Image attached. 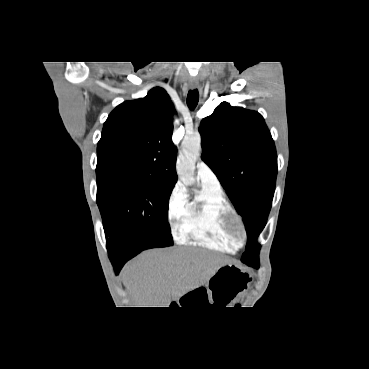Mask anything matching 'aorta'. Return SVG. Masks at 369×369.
I'll use <instances>...</instances> for the list:
<instances>
[{"label":"aorta","instance_id":"762f6f07","mask_svg":"<svg viewBox=\"0 0 369 369\" xmlns=\"http://www.w3.org/2000/svg\"><path fill=\"white\" fill-rule=\"evenodd\" d=\"M200 150L201 137L199 134L185 136L176 170L180 180L187 185L194 183L195 162L199 157Z\"/></svg>","mask_w":369,"mask_h":369}]
</instances>
